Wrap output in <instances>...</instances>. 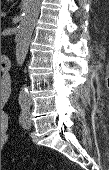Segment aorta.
Returning a JSON list of instances; mask_svg holds the SVG:
<instances>
[{"instance_id":"762f6f07","label":"aorta","mask_w":109,"mask_h":170,"mask_svg":"<svg viewBox=\"0 0 109 170\" xmlns=\"http://www.w3.org/2000/svg\"><path fill=\"white\" fill-rule=\"evenodd\" d=\"M41 0H24L23 13L16 37V62L19 67H22L28 48L30 45L31 36L39 15ZM20 103L28 104L30 102L29 93L26 87H22L19 92Z\"/></svg>"}]
</instances>
